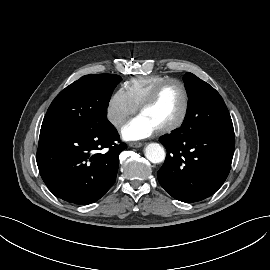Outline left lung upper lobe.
I'll list each match as a JSON object with an SVG mask.
<instances>
[{"mask_svg": "<svg viewBox=\"0 0 270 270\" xmlns=\"http://www.w3.org/2000/svg\"><path fill=\"white\" fill-rule=\"evenodd\" d=\"M189 105L181 128L203 130L233 129L228 109L220 94L208 83L188 72L183 77Z\"/></svg>", "mask_w": 270, "mask_h": 270, "instance_id": "left-lung-upper-lobe-1", "label": "left lung upper lobe"}]
</instances>
